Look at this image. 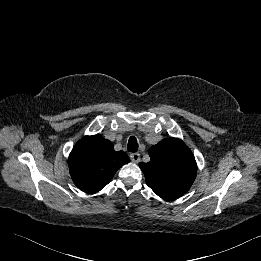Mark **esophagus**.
Here are the masks:
<instances>
[{"label": "esophagus", "instance_id": "1", "mask_svg": "<svg viewBox=\"0 0 261 261\" xmlns=\"http://www.w3.org/2000/svg\"><path fill=\"white\" fill-rule=\"evenodd\" d=\"M130 159L134 163H138L140 161V154L139 153H132L130 154Z\"/></svg>", "mask_w": 261, "mask_h": 261}]
</instances>
